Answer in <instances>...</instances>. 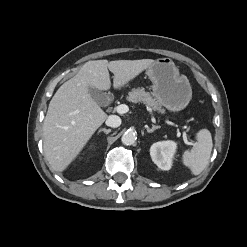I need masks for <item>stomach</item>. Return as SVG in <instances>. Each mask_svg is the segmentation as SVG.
Wrapping results in <instances>:
<instances>
[{
  "label": "stomach",
  "mask_w": 247,
  "mask_h": 247,
  "mask_svg": "<svg viewBox=\"0 0 247 247\" xmlns=\"http://www.w3.org/2000/svg\"><path fill=\"white\" fill-rule=\"evenodd\" d=\"M146 73L152 81L153 96L162 106L170 112L186 108L192 98V88L171 59L155 60Z\"/></svg>",
  "instance_id": "0dacf381"
}]
</instances>
